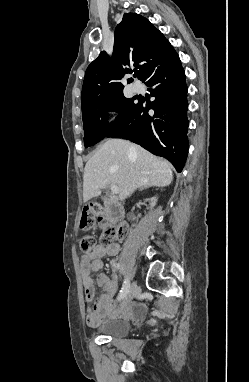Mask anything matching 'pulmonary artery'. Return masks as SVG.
Listing matches in <instances>:
<instances>
[{
	"label": "pulmonary artery",
	"mask_w": 249,
	"mask_h": 382,
	"mask_svg": "<svg viewBox=\"0 0 249 382\" xmlns=\"http://www.w3.org/2000/svg\"><path fill=\"white\" fill-rule=\"evenodd\" d=\"M133 87H134V89H135L136 91H139L140 88H141V84L138 83V82H136V83L133 84Z\"/></svg>",
	"instance_id": "pulmonary-artery-1"
}]
</instances>
